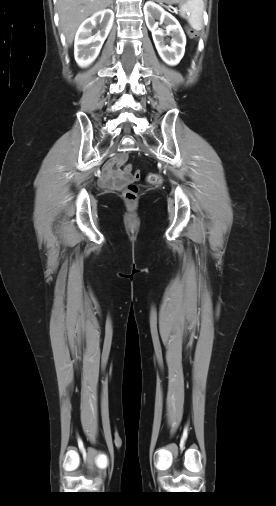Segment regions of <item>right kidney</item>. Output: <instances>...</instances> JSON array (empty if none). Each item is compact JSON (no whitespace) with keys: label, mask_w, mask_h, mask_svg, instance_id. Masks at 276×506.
<instances>
[{"label":"right kidney","mask_w":276,"mask_h":506,"mask_svg":"<svg viewBox=\"0 0 276 506\" xmlns=\"http://www.w3.org/2000/svg\"><path fill=\"white\" fill-rule=\"evenodd\" d=\"M113 20L114 12L104 9L94 13L80 25L74 41V56L79 66L87 67L96 59L112 28ZM97 24L101 26V30L91 36V31Z\"/></svg>","instance_id":"obj_1"}]
</instances>
